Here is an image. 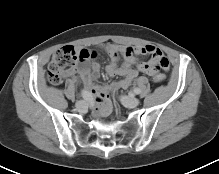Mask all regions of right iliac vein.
<instances>
[{
    "mask_svg": "<svg viewBox=\"0 0 219 174\" xmlns=\"http://www.w3.org/2000/svg\"><path fill=\"white\" fill-rule=\"evenodd\" d=\"M86 105H87V103H86V101L85 100H80V101H78L77 103H76V108L77 109H83V108H85L86 107Z\"/></svg>",
    "mask_w": 219,
    "mask_h": 174,
    "instance_id": "1",
    "label": "right iliac vein"
}]
</instances>
